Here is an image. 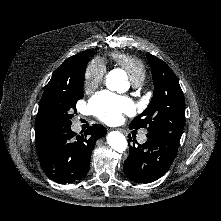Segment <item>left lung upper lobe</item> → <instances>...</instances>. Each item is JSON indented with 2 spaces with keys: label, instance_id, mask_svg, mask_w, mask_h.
<instances>
[{
  "label": "left lung upper lobe",
  "instance_id": "1",
  "mask_svg": "<svg viewBox=\"0 0 221 221\" xmlns=\"http://www.w3.org/2000/svg\"><path fill=\"white\" fill-rule=\"evenodd\" d=\"M154 82V93L146 110L131 123V128H147L148 132L168 130L183 132L185 100L178 79L171 68L147 53Z\"/></svg>",
  "mask_w": 221,
  "mask_h": 221
}]
</instances>
